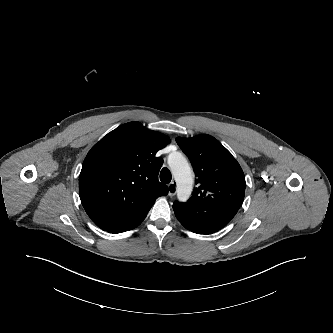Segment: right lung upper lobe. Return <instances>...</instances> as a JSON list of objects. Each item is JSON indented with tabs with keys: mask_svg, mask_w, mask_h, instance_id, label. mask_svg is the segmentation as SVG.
<instances>
[{
	"mask_svg": "<svg viewBox=\"0 0 333 333\" xmlns=\"http://www.w3.org/2000/svg\"><path fill=\"white\" fill-rule=\"evenodd\" d=\"M169 143L166 135L129 122L91 148L79 176V195L98 227L110 231L129 226L167 195V186L158 180L163 159L156 153Z\"/></svg>",
	"mask_w": 333,
	"mask_h": 333,
	"instance_id": "cb5924a9",
	"label": "right lung upper lobe"
}]
</instances>
